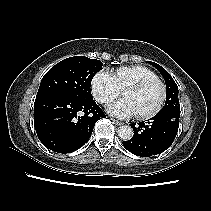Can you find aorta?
I'll use <instances>...</instances> for the list:
<instances>
[{
    "instance_id": "obj_1",
    "label": "aorta",
    "mask_w": 211,
    "mask_h": 211,
    "mask_svg": "<svg viewBox=\"0 0 211 211\" xmlns=\"http://www.w3.org/2000/svg\"><path fill=\"white\" fill-rule=\"evenodd\" d=\"M118 136L124 140H130L133 136V129L129 125H122L118 128Z\"/></svg>"
}]
</instances>
